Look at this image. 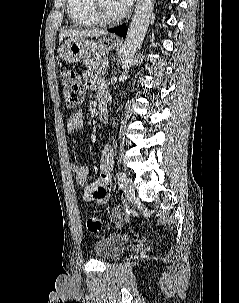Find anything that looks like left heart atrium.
<instances>
[{
	"label": "left heart atrium",
	"mask_w": 239,
	"mask_h": 303,
	"mask_svg": "<svg viewBox=\"0 0 239 303\" xmlns=\"http://www.w3.org/2000/svg\"><path fill=\"white\" fill-rule=\"evenodd\" d=\"M114 1L119 6V8L122 9V12L128 10L133 2V0H114Z\"/></svg>",
	"instance_id": "obj_1"
}]
</instances>
